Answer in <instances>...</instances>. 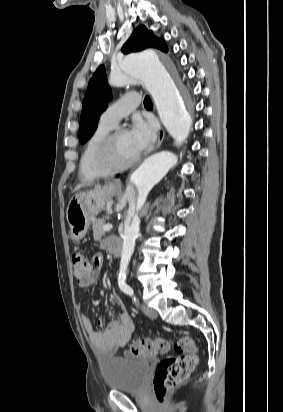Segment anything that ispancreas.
I'll list each match as a JSON object with an SVG mask.
<instances>
[{"label": "pancreas", "mask_w": 283, "mask_h": 412, "mask_svg": "<svg viewBox=\"0 0 283 412\" xmlns=\"http://www.w3.org/2000/svg\"><path fill=\"white\" fill-rule=\"evenodd\" d=\"M105 225L104 219H96L92 221L93 237L95 240H100L104 235L103 226Z\"/></svg>", "instance_id": "pancreas-1"}]
</instances>
